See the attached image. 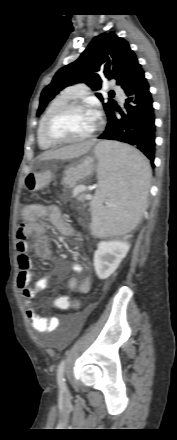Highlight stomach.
Instances as JSON below:
<instances>
[{
  "mask_svg": "<svg viewBox=\"0 0 177 440\" xmlns=\"http://www.w3.org/2000/svg\"><path fill=\"white\" fill-rule=\"evenodd\" d=\"M98 169V163L93 156H86L77 163L67 166L63 172L62 185L73 188L88 179Z\"/></svg>",
  "mask_w": 177,
  "mask_h": 440,
  "instance_id": "stomach-1",
  "label": "stomach"
}]
</instances>
